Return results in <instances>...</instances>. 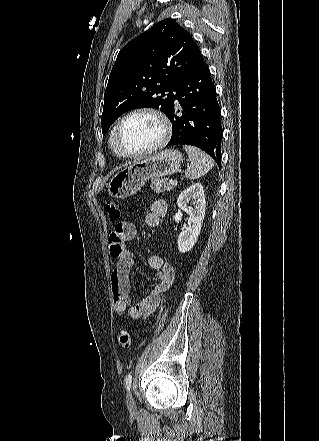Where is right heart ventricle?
I'll use <instances>...</instances> for the list:
<instances>
[{
	"label": "right heart ventricle",
	"mask_w": 319,
	"mask_h": 441,
	"mask_svg": "<svg viewBox=\"0 0 319 441\" xmlns=\"http://www.w3.org/2000/svg\"><path fill=\"white\" fill-rule=\"evenodd\" d=\"M114 128L112 129L111 134H110V138H109L110 148L115 156L122 157V155L117 151L115 144H114Z\"/></svg>",
	"instance_id": "obj_1"
}]
</instances>
